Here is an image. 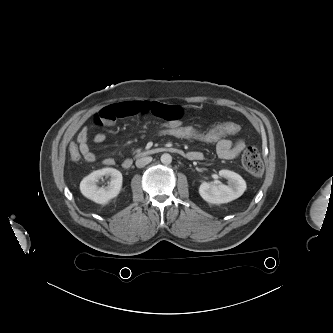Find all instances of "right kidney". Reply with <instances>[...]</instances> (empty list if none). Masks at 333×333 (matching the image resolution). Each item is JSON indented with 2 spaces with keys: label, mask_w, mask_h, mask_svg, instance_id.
<instances>
[{
  "label": "right kidney",
  "mask_w": 333,
  "mask_h": 333,
  "mask_svg": "<svg viewBox=\"0 0 333 333\" xmlns=\"http://www.w3.org/2000/svg\"><path fill=\"white\" fill-rule=\"evenodd\" d=\"M103 176L110 177L108 186L98 187L97 183ZM122 182L120 171L114 168H103L86 176L80 183V191L86 198L105 204L120 193Z\"/></svg>",
  "instance_id": "obj_1"
}]
</instances>
